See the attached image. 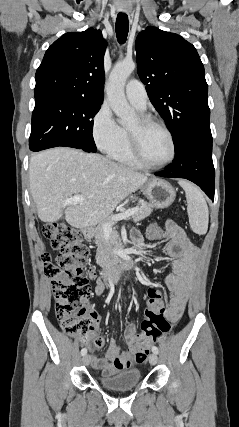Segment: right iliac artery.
<instances>
[{
	"label": "right iliac artery",
	"instance_id": "right-iliac-artery-1",
	"mask_svg": "<svg viewBox=\"0 0 239 427\" xmlns=\"http://www.w3.org/2000/svg\"><path fill=\"white\" fill-rule=\"evenodd\" d=\"M87 354V349L86 348H83L82 350H81V355H86Z\"/></svg>",
	"mask_w": 239,
	"mask_h": 427
}]
</instances>
